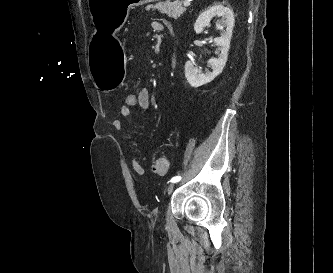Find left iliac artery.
I'll return each mask as SVG.
<instances>
[{
  "instance_id": "1",
  "label": "left iliac artery",
  "mask_w": 333,
  "mask_h": 273,
  "mask_svg": "<svg viewBox=\"0 0 333 273\" xmlns=\"http://www.w3.org/2000/svg\"><path fill=\"white\" fill-rule=\"evenodd\" d=\"M181 178H182L181 176H175L170 180V182H172V183L179 182L181 180Z\"/></svg>"
}]
</instances>
